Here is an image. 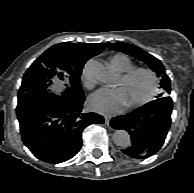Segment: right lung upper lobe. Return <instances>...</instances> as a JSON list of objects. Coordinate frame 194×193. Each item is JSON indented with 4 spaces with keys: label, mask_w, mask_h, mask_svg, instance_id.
<instances>
[{
    "label": "right lung upper lobe",
    "mask_w": 194,
    "mask_h": 193,
    "mask_svg": "<svg viewBox=\"0 0 194 193\" xmlns=\"http://www.w3.org/2000/svg\"><path fill=\"white\" fill-rule=\"evenodd\" d=\"M104 43H60L46 50L28 70L40 71L43 74L65 73L69 69L83 68L91 57L100 54Z\"/></svg>",
    "instance_id": "right-lung-upper-lobe-1"
}]
</instances>
